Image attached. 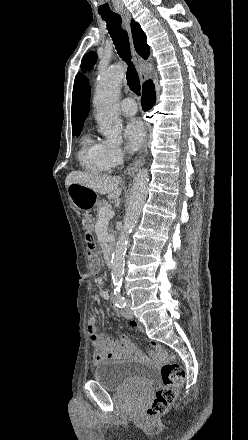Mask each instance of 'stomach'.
Wrapping results in <instances>:
<instances>
[{
  "mask_svg": "<svg viewBox=\"0 0 248 440\" xmlns=\"http://www.w3.org/2000/svg\"><path fill=\"white\" fill-rule=\"evenodd\" d=\"M68 196L73 205L79 210H87L99 204L98 194L80 184L67 187Z\"/></svg>",
  "mask_w": 248,
  "mask_h": 440,
  "instance_id": "obj_1",
  "label": "stomach"
}]
</instances>
